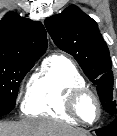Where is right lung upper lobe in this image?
Wrapping results in <instances>:
<instances>
[{"instance_id":"obj_1","label":"right lung upper lobe","mask_w":117,"mask_h":136,"mask_svg":"<svg viewBox=\"0 0 117 136\" xmlns=\"http://www.w3.org/2000/svg\"><path fill=\"white\" fill-rule=\"evenodd\" d=\"M47 49V35L40 22L10 12L0 21V58L39 59Z\"/></svg>"}]
</instances>
